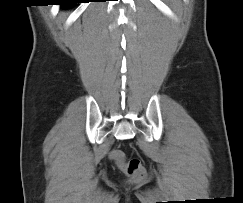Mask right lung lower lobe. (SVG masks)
I'll return each mask as SVG.
<instances>
[{
    "instance_id": "right-lung-lower-lobe-1",
    "label": "right lung lower lobe",
    "mask_w": 243,
    "mask_h": 203,
    "mask_svg": "<svg viewBox=\"0 0 243 203\" xmlns=\"http://www.w3.org/2000/svg\"><path fill=\"white\" fill-rule=\"evenodd\" d=\"M81 0H67L66 2H63L62 5L63 6H70L71 4H77L80 3Z\"/></svg>"
}]
</instances>
